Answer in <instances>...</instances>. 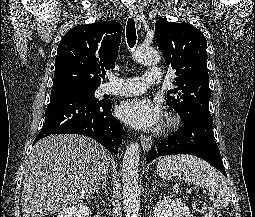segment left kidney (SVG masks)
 Instances as JSON below:
<instances>
[{"label":"left kidney","instance_id":"left-kidney-1","mask_svg":"<svg viewBox=\"0 0 255 217\" xmlns=\"http://www.w3.org/2000/svg\"><path fill=\"white\" fill-rule=\"evenodd\" d=\"M153 214L154 217H193L185 202L168 196H164L157 202Z\"/></svg>","mask_w":255,"mask_h":217}]
</instances>
